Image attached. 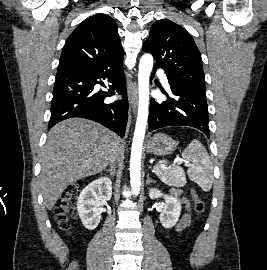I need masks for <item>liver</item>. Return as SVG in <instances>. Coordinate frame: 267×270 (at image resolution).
Listing matches in <instances>:
<instances>
[{"mask_svg": "<svg viewBox=\"0 0 267 270\" xmlns=\"http://www.w3.org/2000/svg\"><path fill=\"white\" fill-rule=\"evenodd\" d=\"M120 138L107 128L82 118L55 125L41 154L40 186L51 210L62 192L74 182L102 172L110 163Z\"/></svg>", "mask_w": 267, "mask_h": 270, "instance_id": "liver-1", "label": "liver"}]
</instances>
